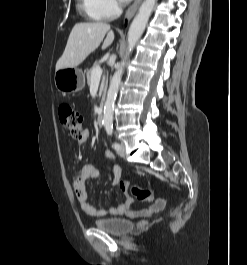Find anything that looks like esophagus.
<instances>
[{
    "instance_id": "esophagus-1",
    "label": "esophagus",
    "mask_w": 247,
    "mask_h": 265,
    "mask_svg": "<svg viewBox=\"0 0 247 265\" xmlns=\"http://www.w3.org/2000/svg\"><path fill=\"white\" fill-rule=\"evenodd\" d=\"M141 2H142V0H135L134 3L129 7V9L127 10V12L125 14V18L127 20H130L135 15Z\"/></svg>"
}]
</instances>
